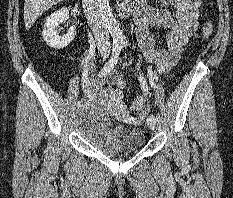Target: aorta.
Instances as JSON below:
<instances>
[{
    "instance_id": "1",
    "label": "aorta",
    "mask_w": 233,
    "mask_h": 198,
    "mask_svg": "<svg viewBox=\"0 0 233 198\" xmlns=\"http://www.w3.org/2000/svg\"><path fill=\"white\" fill-rule=\"evenodd\" d=\"M103 1V15L106 22V25L109 29V32L113 38L114 42H121L125 40V36L121 31L116 19L112 14V9L109 5V0H102Z\"/></svg>"
}]
</instances>
